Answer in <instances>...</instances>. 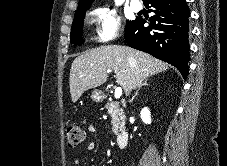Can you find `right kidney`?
<instances>
[{
	"instance_id": "1",
	"label": "right kidney",
	"mask_w": 227,
	"mask_h": 166,
	"mask_svg": "<svg viewBox=\"0 0 227 166\" xmlns=\"http://www.w3.org/2000/svg\"><path fill=\"white\" fill-rule=\"evenodd\" d=\"M140 117L145 124L151 123L150 111L147 107H144L140 112Z\"/></svg>"
}]
</instances>
